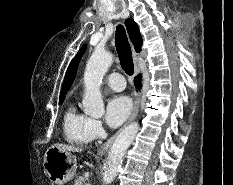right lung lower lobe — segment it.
I'll return each instance as SVG.
<instances>
[{
	"mask_svg": "<svg viewBox=\"0 0 233 185\" xmlns=\"http://www.w3.org/2000/svg\"><path fill=\"white\" fill-rule=\"evenodd\" d=\"M139 81H141V74H138L136 80H135V83L137 85V87H141V83H139Z\"/></svg>",
	"mask_w": 233,
	"mask_h": 185,
	"instance_id": "obj_1",
	"label": "right lung lower lobe"
}]
</instances>
